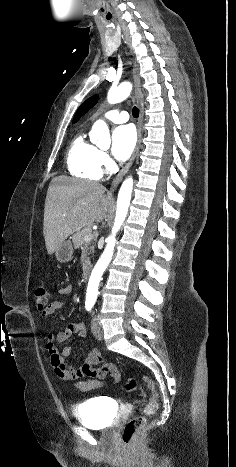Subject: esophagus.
<instances>
[{"label":"esophagus","mask_w":236,"mask_h":467,"mask_svg":"<svg viewBox=\"0 0 236 467\" xmlns=\"http://www.w3.org/2000/svg\"><path fill=\"white\" fill-rule=\"evenodd\" d=\"M132 73H133V79H134V83H135L134 97L136 99V103H137V105L139 107V111H140L138 122H137V133H138L137 144H136L134 152H133L130 160L128 161V163L121 169V171L114 178V180H113V182L111 184V188H110L111 192L115 191L118 184L121 182L123 177L129 171L130 167L132 166V164H133V162H134V160H135V158H136V156L138 154L140 144H141V138H142L141 129H142V123H143V116H144V104H143V96H142V92H141V88H140L141 80H140L139 70H138V66H137L136 62H133Z\"/></svg>","instance_id":"obj_1"}]
</instances>
